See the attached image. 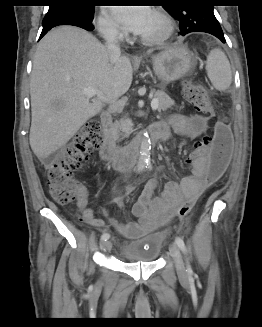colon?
<instances>
[{"label":"colon","mask_w":262,"mask_h":327,"mask_svg":"<svg viewBox=\"0 0 262 327\" xmlns=\"http://www.w3.org/2000/svg\"><path fill=\"white\" fill-rule=\"evenodd\" d=\"M185 99L198 112L211 117L213 109L206 89L199 83L185 81ZM103 141L102 126L97 120L88 121L54 161L48 171L47 186L51 197L58 203L77 199L81 188L74 179V173L87 159L88 154L100 148ZM232 148V134L229 127L216 123L211 133L195 143L191 153L203 156L207 161V180L214 183L225 173ZM194 201H185L176 211L178 217H185L191 211Z\"/></svg>","instance_id":"obj_1"}]
</instances>
